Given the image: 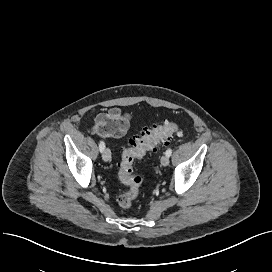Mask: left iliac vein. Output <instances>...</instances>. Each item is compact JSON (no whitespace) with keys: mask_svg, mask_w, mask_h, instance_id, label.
Listing matches in <instances>:
<instances>
[{"mask_svg":"<svg viewBox=\"0 0 272 272\" xmlns=\"http://www.w3.org/2000/svg\"><path fill=\"white\" fill-rule=\"evenodd\" d=\"M161 164L163 165V166H168V164H169V157L167 156V155H163L162 157H161Z\"/></svg>","mask_w":272,"mask_h":272,"instance_id":"left-iliac-vein-1","label":"left iliac vein"}]
</instances>
